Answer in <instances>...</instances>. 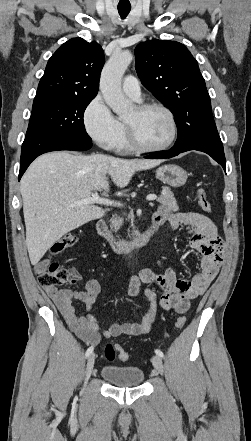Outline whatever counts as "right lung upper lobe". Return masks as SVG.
Wrapping results in <instances>:
<instances>
[{
	"label": "right lung upper lobe",
	"mask_w": 251,
	"mask_h": 441,
	"mask_svg": "<svg viewBox=\"0 0 251 441\" xmlns=\"http://www.w3.org/2000/svg\"><path fill=\"white\" fill-rule=\"evenodd\" d=\"M104 62L103 49L97 42L70 39L49 59L34 101L95 97Z\"/></svg>",
	"instance_id": "right-lung-upper-lobe-1"
}]
</instances>
